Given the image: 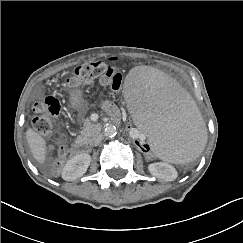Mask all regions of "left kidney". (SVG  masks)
<instances>
[{
  "instance_id": "obj_1",
  "label": "left kidney",
  "mask_w": 243,
  "mask_h": 243,
  "mask_svg": "<svg viewBox=\"0 0 243 243\" xmlns=\"http://www.w3.org/2000/svg\"><path fill=\"white\" fill-rule=\"evenodd\" d=\"M148 170L153 176L165 181H173L178 176L176 169L167 162L149 164Z\"/></svg>"
}]
</instances>
